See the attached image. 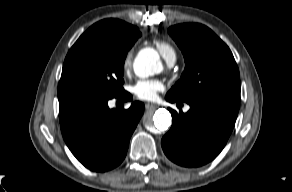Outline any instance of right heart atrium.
Returning <instances> with one entry per match:
<instances>
[{"label":"right heart atrium","instance_id":"right-heart-atrium-1","mask_svg":"<svg viewBox=\"0 0 292 192\" xmlns=\"http://www.w3.org/2000/svg\"><path fill=\"white\" fill-rule=\"evenodd\" d=\"M133 55H134L133 49H129L123 58L122 67L125 72H128L132 66Z\"/></svg>","mask_w":292,"mask_h":192}]
</instances>
